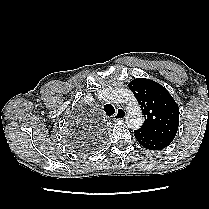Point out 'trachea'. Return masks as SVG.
Here are the masks:
<instances>
[{"mask_svg":"<svg viewBox=\"0 0 209 209\" xmlns=\"http://www.w3.org/2000/svg\"><path fill=\"white\" fill-rule=\"evenodd\" d=\"M103 110L105 111V114L109 117L115 113V109L111 104L104 105Z\"/></svg>","mask_w":209,"mask_h":209,"instance_id":"trachea-1","label":"trachea"}]
</instances>
